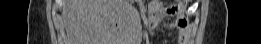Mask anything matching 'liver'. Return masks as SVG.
Listing matches in <instances>:
<instances>
[{
    "label": "liver",
    "mask_w": 261,
    "mask_h": 44,
    "mask_svg": "<svg viewBox=\"0 0 261 44\" xmlns=\"http://www.w3.org/2000/svg\"><path fill=\"white\" fill-rule=\"evenodd\" d=\"M127 0H64L62 16L73 44H138L136 8ZM137 40V41H122Z\"/></svg>",
    "instance_id": "6515ba94"
}]
</instances>
